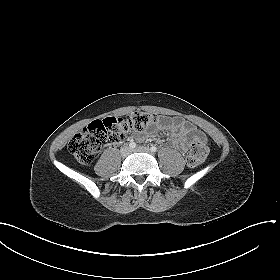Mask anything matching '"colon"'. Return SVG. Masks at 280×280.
I'll return each instance as SVG.
<instances>
[{
  "instance_id": "obj_1",
  "label": "colon",
  "mask_w": 280,
  "mask_h": 280,
  "mask_svg": "<svg viewBox=\"0 0 280 280\" xmlns=\"http://www.w3.org/2000/svg\"><path fill=\"white\" fill-rule=\"evenodd\" d=\"M159 121V116L150 112H135L124 117H110L90 123L77 133L69 143V151L81 164L92 162L95 154L107 142H120L131 132H139ZM208 154L205 138L193 140L187 155V164L196 167Z\"/></svg>"
}]
</instances>
